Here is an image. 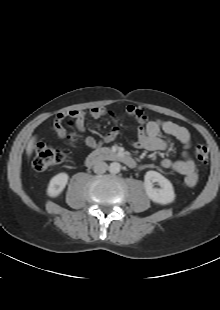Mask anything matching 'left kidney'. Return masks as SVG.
<instances>
[{
    "instance_id": "1",
    "label": "left kidney",
    "mask_w": 220,
    "mask_h": 310,
    "mask_svg": "<svg viewBox=\"0 0 220 310\" xmlns=\"http://www.w3.org/2000/svg\"><path fill=\"white\" fill-rule=\"evenodd\" d=\"M157 182L161 188H155ZM145 191L148 197L155 203L166 205L175 200V193L172 183L156 171H148L144 179Z\"/></svg>"
}]
</instances>
